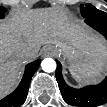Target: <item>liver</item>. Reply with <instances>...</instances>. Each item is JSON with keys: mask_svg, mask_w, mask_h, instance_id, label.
<instances>
[{"mask_svg": "<svg viewBox=\"0 0 107 107\" xmlns=\"http://www.w3.org/2000/svg\"><path fill=\"white\" fill-rule=\"evenodd\" d=\"M72 37L71 44L81 43L77 58L94 62L107 53L106 44L100 37H90L78 29L63 9L43 8L14 10L0 24V93L6 95L19 82L23 64L37 56L41 46L60 45ZM33 52L32 58L21 55V51Z\"/></svg>", "mask_w": 107, "mask_h": 107, "instance_id": "6515ba94", "label": "liver"}]
</instances>
